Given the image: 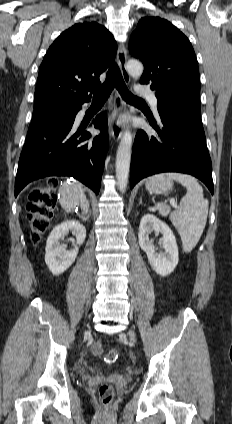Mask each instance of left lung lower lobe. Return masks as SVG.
Segmentation results:
<instances>
[{"instance_id":"0a47b994","label":"left lung lower lobe","mask_w":232,"mask_h":424,"mask_svg":"<svg viewBox=\"0 0 232 424\" xmlns=\"http://www.w3.org/2000/svg\"><path fill=\"white\" fill-rule=\"evenodd\" d=\"M161 119L151 136L136 134L131 159L130 187L147 176L161 172L191 174L203 181L213 194L212 164L201 121L200 100L177 97L158 99Z\"/></svg>"}]
</instances>
